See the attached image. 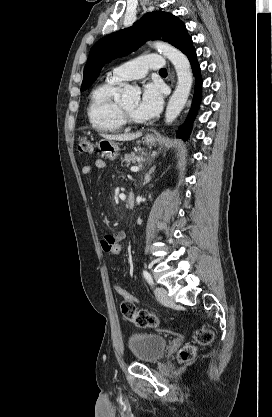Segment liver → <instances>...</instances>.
I'll return each instance as SVG.
<instances>
[{"instance_id":"6515ba94","label":"liver","mask_w":272,"mask_h":417,"mask_svg":"<svg viewBox=\"0 0 272 417\" xmlns=\"http://www.w3.org/2000/svg\"><path fill=\"white\" fill-rule=\"evenodd\" d=\"M141 135V132H137L133 134H102V137L112 141H132L139 138Z\"/></svg>"}]
</instances>
